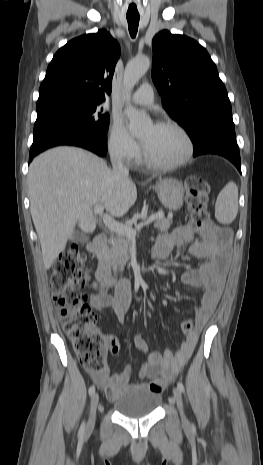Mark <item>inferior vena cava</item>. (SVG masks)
<instances>
[{
    "label": "inferior vena cava",
    "instance_id": "inferior-vena-cava-1",
    "mask_svg": "<svg viewBox=\"0 0 263 465\" xmlns=\"http://www.w3.org/2000/svg\"><path fill=\"white\" fill-rule=\"evenodd\" d=\"M110 159L113 166V173L123 179L129 177V170L122 162V155L118 151L110 152Z\"/></svg>",
    "mask_w": 263,
    "mask_h": 465
}]
</instances>
